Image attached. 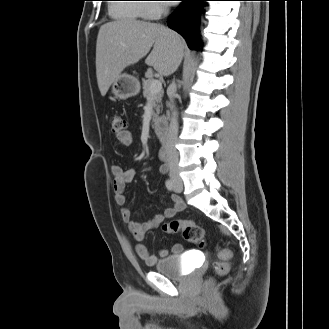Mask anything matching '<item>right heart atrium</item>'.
<instances>
[{"instance_id":"d8ad5b80","label":"right heart atrium","mask_w":329,"mask_h":329,"mask_svg":"<svg viewBox=\"0 0 329 329\" xmlns=\"http://www.w3.org/2000/svg\"><path fill=\"white\" fill-rule=\"evenodd\" d=\"M149 2H156L148 4L146 8V18L156 19L160 17L165 11H167L166 1L163 0H149Z\"/></svg>"}]
</instances>
